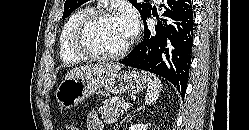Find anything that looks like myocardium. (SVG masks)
<instances>
[{
	"instance_id": "1",
	"label": "myocardium",
	"mask_w": 249,
	"mask_h": 130,
	"mask_svg": "<svg viewBox=\"0 0 249 130\" xmlns=\"http://www.w3.org/2000/svg\"><path fill=\"white\" fill-rule=\"evenodd\" d=\"M115 15H118V13L112 9H95L88 13L79 22L74 34L73 47L76 53L86 59L96 61H115L125 57L134 43L135 36H132L121 50L112 54L95 51L87 42V32L93 23L101 18L112 17Z\"/></svg>"
}]
</instances>
